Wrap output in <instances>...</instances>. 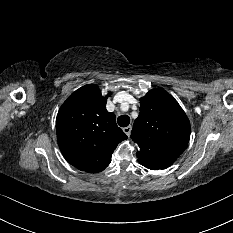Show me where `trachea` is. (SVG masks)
<instances>
[{
	"mask_svg": "<svg viewBox=\"0 0 233 233\" xmlns=\"http://www.w3.org/2000/svg\"><path fill=\"white\" fill-rule=\"evenodd\" d=\"M118 125L121 127H127L130 123V117L128 115H121L117 119Z\"/></svg>",
	"mask_w": 233,
	"mask_h": 233,
	"instance_id": "1",
	"label": "trachea"
}]
</instances>
